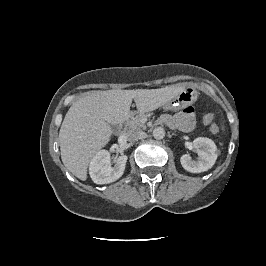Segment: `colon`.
I'll return each instance as SVG.
<instances>
[{"label": "colon", "instance_id": "colon-1", "mask_svg": "<svg viewBox=\"0 0 266 266\" xmlns=\"http://www.w3.org/2000/svg\"><path fill=\"white\" fill-rule=\"evenodd\" d=\"M213 120L214 116L212 114H205L203 116V122L207 125H210V130L213 133H217L219 131V127L215 123H213Z\"/></svg>", "mask_w": 266, "mask_h": 266}]
</instances>
